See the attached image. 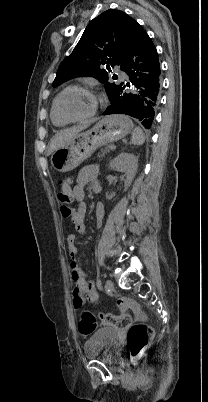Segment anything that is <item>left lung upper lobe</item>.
Instances as JSON below:
<instances>
[{
  "instance_id": "obj_1",
  "label": "left lung upper lobe",
  "mask_w": 208,
  "mask_h": 402,
  "mask_svg": "<svg viewBox=\"0 0 208 402\" xmlns=\"http://www.w3.org/2000/svg\"><path fill=\"white\" fill-rule=\"evenodd\" d=\"M135 20L109 9L95 17L83 32L73 52L61 63L53 87L77 76H92L105 84L109 100L117 85L109 83V72L121 66V57Z\"/></svg>"
}]
</instances>
